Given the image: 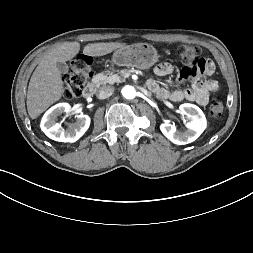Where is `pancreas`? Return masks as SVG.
I'll return each instance as SVG.
<instances>
[{"label": "pancreas", "mask_w": 253, "mask_h": 253, "mask_svg": "<svg viewBox=\"0 0 253 253\" xmlns=\"http://www.w3.org/2000/svg\"><path fill=\"white\" fill-rule=\"evenodd\" d=\"M123 79L119 76H117L116 74L110 73V72H102V73H98L93 82L96 85H100V84H113L114 82H121Z\"/></svg>", "instance_id": "1"}]
</instances>
